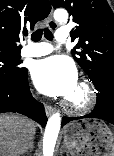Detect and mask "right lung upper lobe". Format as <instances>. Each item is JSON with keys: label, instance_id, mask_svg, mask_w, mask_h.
I'll list each match as a JSON object with an SVG mask.
<instances>
[{"label": "right lung upper lobe", "instance_id": "1", "mask_svg": "<svg viewBox=\"0 0 114 156\" xmlns=\"http://www.w3.org/2000/svg\"><path fill=\"white\" fill-rule=\"evenodd\" d=\"M50 10L48 0H0V50L20 51V32L33 29Z\"/></svg>", "mask_w": 114, "mask_h": 156}]
</instances>
